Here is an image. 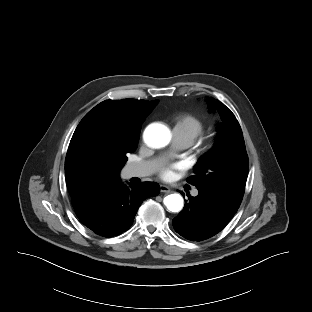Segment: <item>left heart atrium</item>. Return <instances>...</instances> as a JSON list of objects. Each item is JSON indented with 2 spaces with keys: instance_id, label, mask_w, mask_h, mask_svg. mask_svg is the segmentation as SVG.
<instances>
[{
  "instance_id": "1",
  "label": "left heart atrium",
  "mask_w": 312,
  "mask_h": 312,
  "mask_svg": "<svg viewBox=\"0 0 312 312\" xmlns=\"http://www.w3.org/2000/svg\"><path fill=\"white\" fill-rule=\"evenodd\" d=\"M183 169V165L181 163H173L164 165L160 170V176L165 180H170L173 178L174 170Z\"/></svg>"
}]
</instances>
